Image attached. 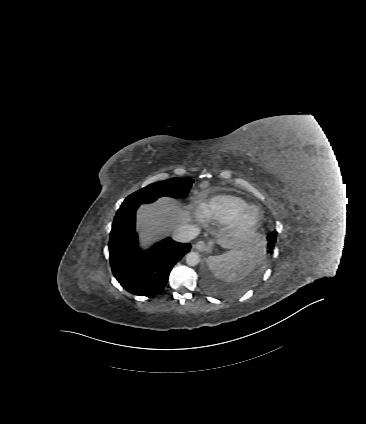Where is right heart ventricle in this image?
<instances>
[{"instance_id":"1","label":"right heart ventricle","mask_w":366,"mask_h":424,"mask_svg":"<svg viewBox=\"0 0 366 424\" xmlns=\"http://www.w3.org/2000/svg\"><path fill=\"white\" fill-rule=\"evenodd\" d=\"M246 200L235 195H218L203 203L200 207L201 216L210 222L221 225L230 224L246 207Z\"/></svg>"}]
</instances>
